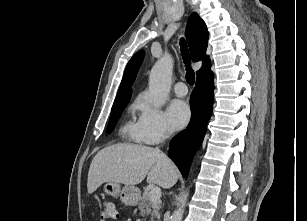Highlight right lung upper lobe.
I'll return each instance as SVG.
<instances>
[{
	"label": "right lung upper lobe",
	"mask_w": 307,
	"mask_h": 221,
	"mask_svg": "<svg viewBox=\"0 0 307 221\" xmlns=\"http://www.w3.org/2000/svg\"><path fill=\"white\" fill-rule=\"evenodd\" d=\"M185 34L193 61L203 59L202 68L197 72V79L213 78V73L210 70V60L208 56H205L208 44V31L204 21L197 13L194 12L191 14ZM143 58L144 51L141 50L128 62L114 103L130 99L132 93L131 85L136 78Z\"/></svg>",
	"instance_id": "1"
}]
</instances>
